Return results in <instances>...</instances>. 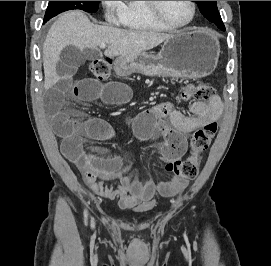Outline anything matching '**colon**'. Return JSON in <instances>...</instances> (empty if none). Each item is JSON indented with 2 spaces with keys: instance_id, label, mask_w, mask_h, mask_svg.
<instances>
[{
  "instance_id": "colon-1",
  "label": "colon",
  "mask_w": 271,
  "mask_h": 266,
  "mask_svg": "<svg viewBox=\"0 0 271 266\" xmlns=\"http://www.w3.org/2000/svg\"><path fill=\"white\" fill-rule=\"evenodd\" d=\"M111 62L109 59H96L91 62L90 70L96 80H105L110 75ZM215 95L214 87L207 82H199L188 86L181 97L193 96L197 101L207 102ZM218 125L211 122L197 129L190 141V155L183 160H174L166 164L167 172L182 180H191L198 173L199 159L201 154L208 149L217 133Z\"/></svg>"
}]
</instances>
